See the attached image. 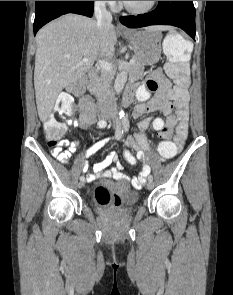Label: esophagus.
<instances>
[{
  "label": "esophagus",
  "instance_id": "1",
  "mask_svg": "<svg viewBox=\"0 0 233 295\" xmlns=\"http://www.w3.org/2000/svg\"><path fill=\"white\" fill-rule=\"evenodd\" d=\"M117 30L120 32H128L129 31L128 28L120 22L117 24Z\"/></svg>",
  "mask_w": 233,
  "mask_h": 295
}]
</instances>
